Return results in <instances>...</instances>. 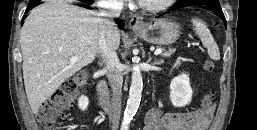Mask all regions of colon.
I'll list each match as a JSON object with an SVG mask.
<instances>
[{"label": "colon", "instance_id": "1", "mask_svg": "<svg viewBox=\"0 0 257 130\" xmlns=\"http://www.w3.org/2000/svg\"><path fill=\"white\" fill-rule=\"evenodd\" d=\"M207 71L214 68L213 62L207 60L204 64ZM86 83V73L82 72L73 78L66 80L52 95L46 100L37 113L39 124L46 130H53L58 121L62 119L67 111L72 108L81 88ZM215 92L210 90L201 100V107L206 110L212 106Z\"/></svg>", "mask_w": 257, "mask_h": 130}]
</instances>
